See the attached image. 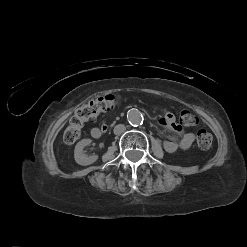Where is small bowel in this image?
<instances>
[{"label": "small bowel", "instance_id": "small-bowel-1", "mask_svg": "<svg viewBox=\"0 0 247 247\" xmlns=\"http://www.w3.org/2000/svg\"><path fill=\"white\" fill-rule=\"evenodd\" d=\"M160 124L170 133L168 139L164 141L163 147L166 152L174 153L177 150H187L194 142L195 136L193 133L184 132L176 123L172 113L166 111ZM107 130V125L102 124L100 127L90 129V134L93 138H99Z\"/></svg>", "mask_w": 247, "mask_h": 247}]
</instances>
